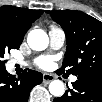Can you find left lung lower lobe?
Returning a JSON list of instances; mask_svg holds the SVG:
<instances>
[{
  "label": "left lung lower lobe",
  "instance_id": "left-lung-lower-lobe-1",
  "mask_svg": "<svg viewBox=\"0 0 102 102\" xmlns=\"http://www.w3.org/2000/svg\"><path fill=\"white\" fill-rule=\"evenodd\" d=\"M73 88L65 92L54 102H101L102 79L90 76H79L72 83Z\"/></svg>",
  "mask_w": 102,
  "mask_h": 102
}]
</instances>
